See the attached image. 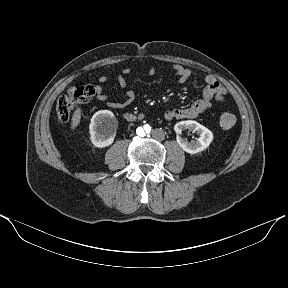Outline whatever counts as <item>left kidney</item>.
Wrapping results in <instances>:
<instances>
[{
    "instance_id": "5707ae66",
    "label": "left kidney",
    "mask_w": 288,
    "mask_h": 288,
    "mask_svg": "<svg viewBox=\"0 0 288 288\" xmlns=\"http://www.w3.org/2000/svg\"><path fill=\"white\" fill-rule=\"evenodd\" d=\"M174 130L177 134V143L187 153L196 154L205 150L213 140V133L196 121L187 120L175 124ZM184 130L196 132L199 137L196 140L188 142L186 138L181 137Z\"/></svg>"
}]
</instances>
